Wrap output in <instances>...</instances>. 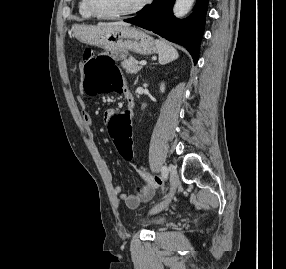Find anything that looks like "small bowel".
I'll list each match as a JSON object with an SVG mask.
<instances>
[{"mask_svg":"<svg viewBox=\"0 0 286 269\" xmlns=\"http://www.w3.org/2000/svg\"><path fill=\"white\" fill-rule=\"evenodd\" d=\"M120 91L124 94L125 99H126L125 108L127 109V111H131L132 113L134 109V99H133L132 93L126 87H122ZM82 105H84L83 102H82ZM111 113H115V108H108L107 111H100L101 123H108L109 116L112 115ZM81 120L85 128L91 131L92 130V118H91L90 113L84 108L81 112ZM138 172L141 178H143L146 181H150L149 176L143 169H140ZM108 178L109 179L112 178V175L110 172H108ZM113 193L118 198L123 200L129 208L136 209L139 207V205L142 202L147 201L152 198V196L154 195V190L151 187H147L143 194H140V195L126 194L122 186L117 185L113 187Z\"/></svg>","mask_w":286,"mask_h":269,"instance_id":"small-bowel-1","label":"small bowel"}]
</instances>
